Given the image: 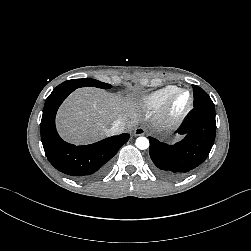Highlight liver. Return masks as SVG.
Masks as SVG:
<instances>
[{
	"label": "liver",
	"instance_id": "1",
	"mask_svg": "<svg viewBox=\"0 0 251 251\" xmlns=\"http://www.w3.org/2000/svg\"><path fill=\"white\" fill-rule=\"evenodd\" d=\"M116 120L129 127L137 123V106L133 99L96 88H82L65 101L58 113L57 125L66 140L83 144L110 134Z\"/></svg>",
	"mask_w": 251,
	"mask_h": 251
}]
</instances>
